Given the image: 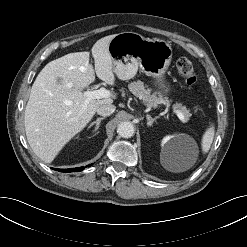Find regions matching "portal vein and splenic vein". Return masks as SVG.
Returning <instances> with one entry per match:
<instances>
[{"label":"portal vein and splenic vein","instance_id":"portal-vein-and-splenic-vein-1","mask_svg":"<svg viewBox=\"0 0 247 247\" xmlns=\"http://www.w3.org/2000/svg\"><path fill=\"white\" fill-rule=\"evenodd\" d=\"M84 96L86 97V103L92 99H102V98H109L111 96L110 91L105 89L104 87L98 89V90H93V91H85ZM173 112L178 116V118L182 121L185 122V117L183 113L180 110H177L173 108Z\"/></svg>","mask_w":247,"mask_h":247}]
</instances>
